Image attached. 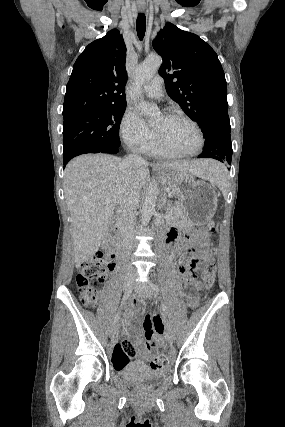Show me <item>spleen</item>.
<instances>
[{"label": "spleen", "mask_w": 285, "mask_h": 427, "mask_svg": "<svg viewBox=\"0 0 285 427\" xmlns=\"http://www.w3.org/2000/svg\"><path fill=\"white\" fill-rule=\"evenodd\" d=\"M210 182L215 184L223 193L227 192L229 175L223 165L220 164L214 168L213 178L210 180Z\"/></svg>", "instance_id": "obj_1"}]
</instances>
